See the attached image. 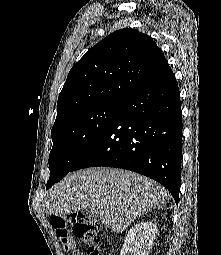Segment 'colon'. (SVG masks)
<instances>
[{
  "label": "colon",
  "mask_w": 221,
  "mask_h": 255,
  "mask_svg": "<svg viewBox=\"0 0 221 255\" xmlns=\"http://www.w3.org/2000/svg\"><path fill=\"white\" fill-rule=\"evenodd\" d=\"M50 223L62 249L70 255H79L72 232L87 245L88 255H100V224L97 219L74 213L71 215H52ZM72 225V229L69 228Z\"/></svg>",
  "instance_id": "5ec220e1"
}]
</instances>
